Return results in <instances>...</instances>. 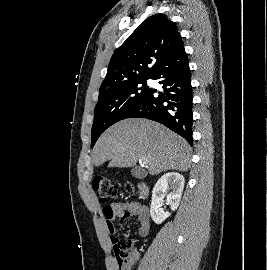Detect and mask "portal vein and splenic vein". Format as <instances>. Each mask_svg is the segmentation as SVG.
Listing matches in <instances>:
<instances>
[{
	"label": "portal vein and splenic vein",
	"mask_w": 267,
	"mask_h": 270,
	"mask_svg": "<svg viewBox=\"0 0 267 270\" xmlns=\"http://www.w3.org/2000/svg\"><path fill=\"white\" fill-rule=\"evenodd\" d=\"M140 162H141L142 164H146V160H145V159H140Z\"/></svg>",
	"instance_id": "18ae733b"
}]
</instances>
